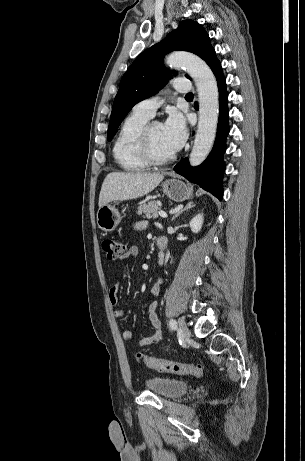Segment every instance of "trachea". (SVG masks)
Returning <instances> with one entry per match:
<instances>
[{"instance_id": "3493384b", "label": "trachea", "mask_w": 305, "mask_h": 461, "mask_svg": "<svg viewBox=\"0 0 305 461\" xmlns=\"http://www.w3.org/2000/svg\"><path fill=\"white\" fill-rule=\"evenodd\" d=\"M185 97H193L192 93H187Z\"/></svg>"}]
</instances>
